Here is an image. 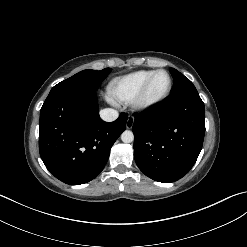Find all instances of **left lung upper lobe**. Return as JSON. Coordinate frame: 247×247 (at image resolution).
<instances>
[{
  "label": "left lung upper lobe",
  "instance_id": "5c2ea615",
  "mask_svg": "<svg viewBox=\"0 0 247 247\" xmlns=\"http://www.w3.org/2000/svg\"><path fill=\"white\" fill-rule=\"evenodd\" d=\"M170 73L174 79V89L171 96H177L188 93H198L193 83L182 73L174 68H170Z\"/></svg>",
  "mask_w": 247,
  "mask_h": 247
}]
</instances>
